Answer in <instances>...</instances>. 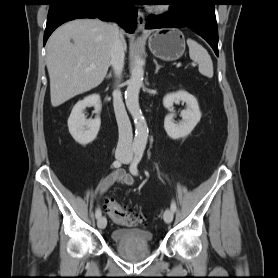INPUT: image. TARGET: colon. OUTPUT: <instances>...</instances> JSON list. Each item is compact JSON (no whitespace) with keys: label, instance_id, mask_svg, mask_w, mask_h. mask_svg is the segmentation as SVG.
<instances>
[{"label":"colon","instance_id":"5ec220e1","mask_svg":"<svg viewBox=\"0 0 278 278\" xmlns=\"http://www.w3.org/2000/svg\"><path fill=\"white\" fill-rule=\"evenodd\" d=\"M106 211L116 223L123 226L134 227L145 222L143 213L127 209L113 198L106 201Z\"/></svg>","mask_w":278,"mask_h":278}]
</instances>
